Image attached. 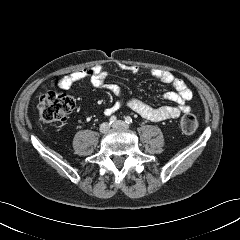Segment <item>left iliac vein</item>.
Returning a JSON list of instances; mask_svg holds the SVG:
<instances>
[{"label": "left iliac vein", "mask_w": 240, "mask_h": 240, "mask_svg": "<svg viewBox=\"0 0 240 240\" xmlns=\"http://www.w3.org/2000/svg\"><path fill=\"white\" fill-rule=\"evenodd\" d=\"M112 127L113 128L127 129L128 125L125 122L118 120L112 125Z\"/></svg>", "instance_id": "obj_1"}]
</instances>
